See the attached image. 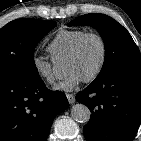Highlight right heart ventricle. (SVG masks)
<instances>
[{"label": "right heart ventricle", "instance_id": "right-heart-ventricle-1", "mask_svg": "<svg viewBox=\"0 0 141 141\" xmlns=\"http://www.w3.org/2000/svg\"><path fill=\"white\" fill-rule=\"evenodd\" d=\"M87 32L84 30H62L50 41L47 50L54 59L65 58L77 41Z\"/></svg>", "mask_w": 141, "mask_h": 141}]
</instances>
